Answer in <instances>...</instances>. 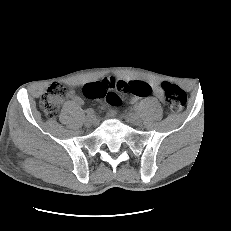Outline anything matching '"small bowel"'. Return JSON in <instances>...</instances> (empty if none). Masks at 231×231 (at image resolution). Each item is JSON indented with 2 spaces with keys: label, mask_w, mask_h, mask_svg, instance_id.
<instances>
[{
  "label": "small bowel",
  "mask_w": 231,
  "mask_h": 231,
  "mask_svg": "<svg viewBox=\"0 0 231 231\" xmlns=\"http://www.w3.org/2000/svg\"><path fill=\"white\" fill-rule=\"evenodd\" d=\"M150 88H151V91L153 92V94L159 100L164 101V92L156 81L153 80L150 82ZM138 98H139L138 96L133 95V97L131 98V101L135 102V101H137ZM71 100L75 104H81L82 103V99L80 97H78L77 95H72ZM113 113H114V111L111 112V114H113Z\"/></svg>",
  "instance_id": "1"
}]
</instances>
